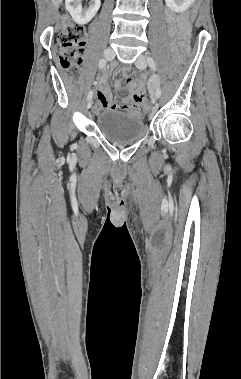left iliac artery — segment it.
Listing matches in <instances>:
<instances>
[{
  "label": "left iliac artery",
  "instance_id": "left-iliac-artery-1",
  "mask_svg": "<svg viewBox=\"0 0 241 379\" xmlns=\"http://www.w3.org/2000/svg\"><path fill=\"white\" fill-rule=\"evenodd\" d=\"M147 62H148V65L149 67L152 69V70H156V64H155V61L152 57L148 56L147 57ZM161 95V88L158 87L157 90H156V96L159 98Z\"/></svg>",
  "mask_w": 241,
  "mask_h": 379
}]
</instances>
